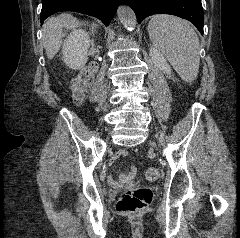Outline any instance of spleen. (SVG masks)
<instances>
[{"label": "spleen", "mask_w": 240, "mask_h": 238, "mask_svg": "<svg viewBox=\"0 0 240 238\" xmlns=\"http://www.w3.org/2000/svg\"><path fill=\"white\" fill-rule=\"evenodd\" d=\"M148 33L154 47L166 56L185 82L196 79L200 64L199 38L191 25L178 17L155 15Z\"/></svg>", "instance_id": "spleen-1"}]
</instances>
